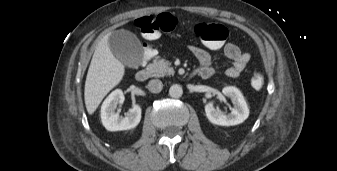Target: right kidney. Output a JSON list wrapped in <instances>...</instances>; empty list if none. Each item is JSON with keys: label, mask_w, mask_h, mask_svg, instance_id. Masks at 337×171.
<instances>
[{"label": "right kidney", "mask_w": 337, "mask_h": 171, "mask_svg": "<svg viewBox=\"0 0 337 171\" xmlns=\"http://www.w3.org/2000/svg\"><path fill=\"white\" fill-rule=\"evenodd\" d=\"M124 95L122 90H114L103 102L101 106V120L103 126L108 131H122L135 128L141 120V108L134 105L127 116H119L115 112L118 104H123Z\"/></svg>", "instance_id": "obj_1"}]
</instances>
